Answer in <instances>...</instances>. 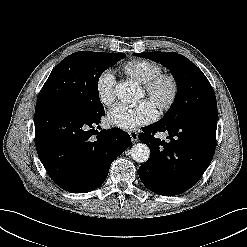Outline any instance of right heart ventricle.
Returning <instances> with one entry per match:
<instances>
[{"instance_id": "right-heart-ventricle-1", "label": "right heart ventricle", "mask_w": 247, "mask_h": 247, "mask_svg": "<svg viewBox=\"0 0 247 247\" xmlns=\"http://www.w3.org/2000/svg\"><path fill=\"white\" fill-rule=\"evenodd\" d=\"M122 72L139 83H145L162 73V66L151 60L137 59L126 62L121 67Z\"/></svg>"}]
</instances>
